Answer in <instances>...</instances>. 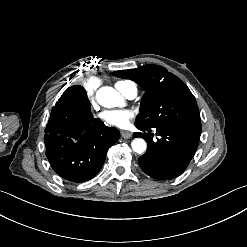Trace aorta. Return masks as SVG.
<instances>
[{
    "label": "aorta",
    "instance_id": "aorta-1",
    "mask_svg": "<svg viewBox=\"0 0 247 247\" xmlns=\"http://www.w3.org/2000/svg\"><path fill=\"white\" fill-rule=\"evenodd\" d=\"M97 101L100 105L107 108L118 106L121 101V95L112 87H102L97 91ZM132 149L136 153H144L147 149L146 142L142 138H136L131 143Z\"/></svg>",
    "mask_w": 247,
    "mask_h": 247
}]
</instances>
